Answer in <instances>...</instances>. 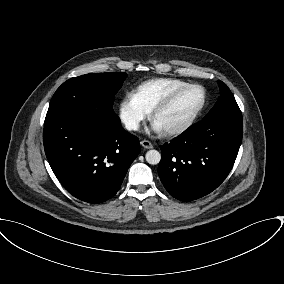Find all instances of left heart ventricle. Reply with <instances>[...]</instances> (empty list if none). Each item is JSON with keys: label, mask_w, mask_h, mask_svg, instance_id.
I'll list each match as a JSON object with an SVG mask.
<instances>
[{"label": "left heart ventricle", "mask_w": 284, "mask_h": 284, "mask_svg": "<svg viewBox=\"0 0 284 284\" xmlns=\"http://www.w3.org/2000/svg\"><path fill=\"white\" fill-rule=\"evenodd\" d=\"M202 91L191 88L183 92L175 102L154 120V124L164 130L178 125L191 116L202 101Z\"/></svg>", "instance_id": "1"}]
</instances>
